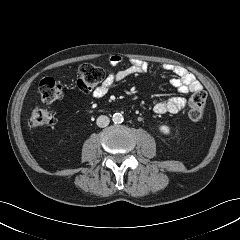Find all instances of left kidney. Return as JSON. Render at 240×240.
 <instances>
[{
    "label": "left kidney",
    "mask_w": 240,
    "mask_h": 240,
    "mask_svg": "<svg viewBox=\"0 0 240 240\" xmlns=\"http://www.w3.org/2000/svg\"><path fill=\"white\" fill-rule=\"evenodd\" d=\"M159 129L163 134H170V128L167 125H161Z\"/></svg>",
    "instance_id": "1"
}]
</instances>
